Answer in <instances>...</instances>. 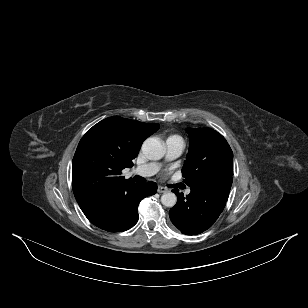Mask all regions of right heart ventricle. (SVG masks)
Returning <instances> with one entry per match:
<instances>
[{
	"label": "right heart ventricle",
	"mask_w": 308,
	"mask_h": 308,
	"mask_svg": "<svg viewBox=\"0 0 308 308\" xmlns=\"http://www.w3.org/2000/svg\"><path fill=\"white\" fill-rule=\"evenodd\" d=\"M169 138H178V139H181V137L178 136V135H172V136H170Z\"/></svg>",
	"instance_id": "e07e8e85"
}]
</instances>
